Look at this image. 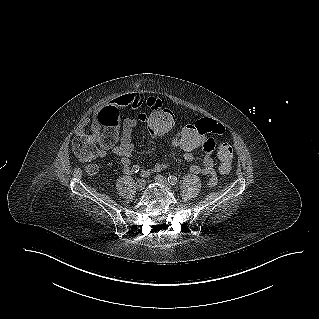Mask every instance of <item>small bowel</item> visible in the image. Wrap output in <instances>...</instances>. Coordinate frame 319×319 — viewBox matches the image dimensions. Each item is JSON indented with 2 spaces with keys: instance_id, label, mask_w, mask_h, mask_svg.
I'll use <instances>...</instances> for the list:
<instances>
[{
  "instance_id": "1",
  "label": "small bowel",
  "mask_w": 319,
  "mask_h": 319,
  "mask_svg": "<svg viewBox=\"0 0 319 319\" xmlns=\"http://www.w3.org/2000/svg\"><path fill=\"white\" fill-rule=\"evenodd\" d=\"M143 104L150 108L153 113H171L172 111L171 104H162V102L155 97L145 99L140 93L121 94L113 97L109 102H107L106 106L98 108L97 111L93 113L91 117L90 132L87 131V124L83 123L77 128L75 134L77 137H88L90 143L94 147L100 149V156H105L108 153L120 156L124 171L126 173H131L133 168L131 166V155L134 150L133 130L137 122L146 124L149 129L148 123L150 114L139 113L136 118L128 119L126 121L125 113L116 107L136 108ZM124 124L125 126L121 134V127ZM149 132L152 137L160 138L159 136L152 134L150 129ZM177 133L173 137L172 144L175 147L180 148L176 139ZM120 134V143L111 147L118 140ZM222 136V130H215V132L212 133L211 138L205 140L202 147L203 152L206 153L202 164H194L190 167V171L192 173L208 176L209 184L211 186L216 184L217 179L214 170V160L210 154L213 152L215 145H217L218 140L222 138ZM183 158L190 162L194 159V153L190 155L183 153ZM168 165V162L158 163L152 169L145 171L144 174L148 175L152 172H159L166 169Z\"/></svg>"
}]
</instances>
